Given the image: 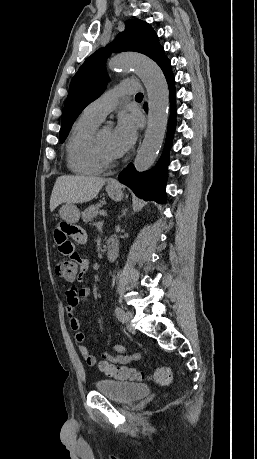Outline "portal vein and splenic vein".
<instances>
[{
	"label": "portal vein and splenic vein",
	"instance_id": "portal-vein-and-splenic-vein-1",
	"mask_svg": "<svg viewBox=\"0 0 257 459\" xmlns=\"http://www.w3.org/2000/svg\"><path fill=\"white\" fill-rule=\"evenodd\" d=\"M100 215H102V216H106V215H107V213H106L105 211H102V212H100Z\"/></svg>",
	"mask_w": 257,
	"mask_h": 459
}]
</instances>
